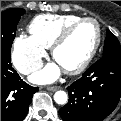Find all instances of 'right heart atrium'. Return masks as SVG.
<instances>
[{
  "label": "right heart atrium",
  "mask_w": 121,
  "mask_h": 121,
  "mask_svg": "<svg viewBox=\"0 0 121 121\" xmlns=\"http://www.w3.org/2000/svg\"><path fill=\"white\" fill-rule=\"evenodd\" d=\"M45 56V47L38 43L32 36L19 34L14 38L12 62L20 73L29 75L38 70Z\"/></svg>",
  "instance_id": "1"
}]
</instances>
